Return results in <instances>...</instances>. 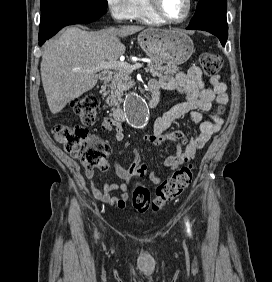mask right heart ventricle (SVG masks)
I'll return each instance as SVG.
<instances>
[{
	"label": "right heart ventricle",
	"mask_w": 272,
	"mask_h": 282,
	"mask_svg": "<svg viewBox=\"0 0 272 282\" xmlns=\"http://www.w3.org/2000/svg\"><path fill=\"white\" fill-rule=\"evenodd\" d=\"M140 1V11L136 16L137 19L141 20L147 24H163L164 22L156 17L153 13H151L147 8V0H139Z\"/></svg>",
	"instance_id": "right-heart-ventricle-1"
}]
</instances>
